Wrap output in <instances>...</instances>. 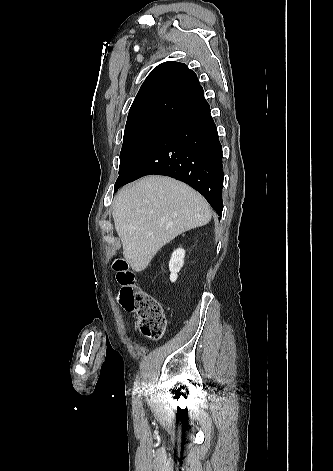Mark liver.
Here are the masks:
<instances>
[{"label":"liver","instance_id":"1","mask_svg":"<svg viewBox=\"0 0 333 471\" xmlns=\"http://www.w3.org/2000/svg\"><path fill=\"white\" fill-rule=\"evenodd\" d=\"M113 219L123 253L136 272L178 235L211 220L207 201L194 189L170 177L152 175L119 191Z\"/></svg>","mask_w":333,"mask_h":471}]
</instances>
